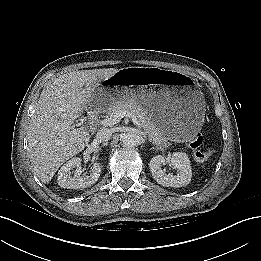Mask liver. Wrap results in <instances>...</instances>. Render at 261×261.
I'll list each match as a JSON object with an SVG mask.
<instances>
[{"instance_id":"obj_1","label":"liver","mask_w":261,"mask_h":261,"mask_svg":"<svg viewBox=\"0 0 261 261\" xmlns=\"http://www.w3.org/2000/svg\"><path fill=\"white\" fill-rule=\"evenodd\" d=\"M118 71H72L48 82L43 89L27 134L30 162L41 182L49 183L64 162L87 146L89 131L75 129L74 121L90 106L100 83Z\"/></svg>"}]
</instances>
